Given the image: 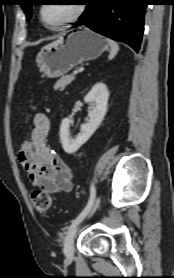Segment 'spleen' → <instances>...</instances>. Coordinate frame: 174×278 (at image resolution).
<instances>
[{
  "label": "spleen",
  "instance_id": "3e777b00",
  "mask_svg": "<svg viewBox=\"0 0 174 278\" xmlns=\"http://www.w3.org/2000/svg\"><path fill=\"white\" fill-rule=\"evenodd\" d=\"M106 41L108 42V44H109V46H110V48H111V51H110V54H109V56H108V58L111 60V59H113L114 57H115V55L118 53V51H119V46H118V44L115 42V41H113V40H111V39H106Z\"/></svg>",
  "mask_w": 174,
  "mask_h": 278
}]
</instances>
